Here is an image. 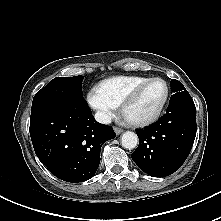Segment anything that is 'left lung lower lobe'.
Wrapping results in <instances>:
<instances>
[{
  "label": "left lung lower lobe",
  "mask_w": 221,
  "mask_h": 221,
  "mask_svg": "<svg viewBox=\"0 0 221 221\" xmlns=\"http://www.w3.org/2000/svg\"><path fill=\"white\" fill-rule=\"evenodd\" d=\"M196 130V107L191 96L169 102L166 114L154 125L136 131L139 146L131 157L151 176L171 175L188 157Z\"/></svg>",
  "instance_id": "1"
}]
</instances>
